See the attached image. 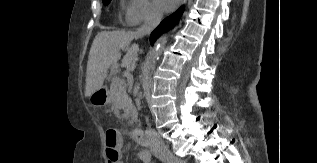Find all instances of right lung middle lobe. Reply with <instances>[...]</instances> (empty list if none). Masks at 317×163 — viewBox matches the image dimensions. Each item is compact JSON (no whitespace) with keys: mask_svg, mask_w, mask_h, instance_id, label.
<instances>
[{"mask_svg":"<svg viewBox=\"0 0 317 163\" xmlns=\"http://www.w3.org/2000/svg\"><path fill=\"white\" fill-rule=\"evenodd\" d=\"M105 5H108L111 0H102Z\"/></svg>","mask_w":317,"mask_h":163,"instance_id":"dd1d6c3e","label":"right lung middle lobe"}]
</instances>
